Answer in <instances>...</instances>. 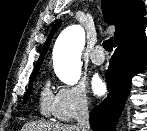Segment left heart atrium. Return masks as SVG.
<instances>
[{
	"mask_svg": "<svg viewBox=\"0 0 147 131\" xmlns=\"http://www.w3.org/2000/svg\"><path fill=\"white\" fill-rule=\"evenodd\" d=\"M91 89L95 95H100L105 89V84L99 75H94L91 79Z\"/></svg>",
	"mask_w": 147,
	"mask_h": 131,
	"instance_id": "39dd6f15",
	"label": "left heart atrium"
}]
</instances>
